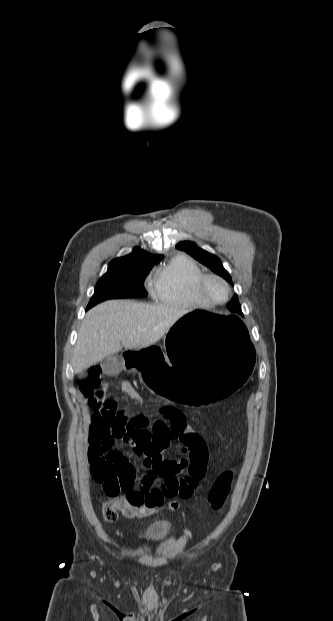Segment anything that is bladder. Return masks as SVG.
<instances>
[{"mask_svg":"<svg viewBox=\"0 0 333 621\" xmlns=\"http://www.w3.org/2000/svg\"><path fill=\"white\" fill-rule=\"evenodd\" d=\"M173 531V524L168 520H158L151 523L141 532V538L147 541H156L166 538Z\"/></svg>","mask_w":333,"mask_h":621,"instance_id":"obj_1","label":"bladder"}]
</instances>
